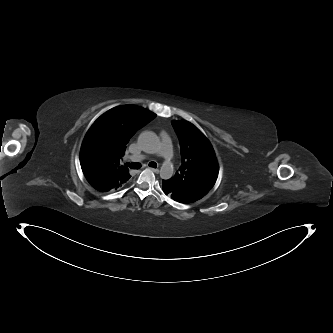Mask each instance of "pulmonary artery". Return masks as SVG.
Segmentation results:
<instances>
[{
    "instance_id": "obj_1",
    "label": "pulmonary artery",
    "mask_w": 333,
    "mask_h": 333,
    "mask_svg": "<svg viewBox=\"0 0 333 333\" xmlns=\"http://www.w3.org/2000/svg\"><path fill=\"white\" fill-rule=\"evenodd\" d=\"M160 138H161V143L158 148V153L167 161L169 162L172 158V143L170 136L162 131L160 133ZM148 158V155H138V156H133L130 158L132 161H143Z\"/></svg>"
}]
</instances>
